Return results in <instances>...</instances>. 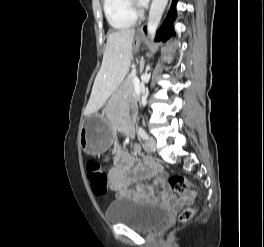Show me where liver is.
I'll list each match as a JSON object with an SVG mask.
<instances>
[{
  "label": "liver",
  "instance_id": "6515ba94",
  "mask_svg": "<svg viewBox=\"0 0 264 247\" xmlns=\"http://www.w3.org/2000/svg\"><path fill=\"white\" fill-rule=\"evenodd\" d=\"M134 29H123L107 36L101 68L95 78L85 114L98 111L127 74L132 59Z\"/></svg>",
  "mask_w": 264,
  "mask_h": 247
}]
</instances>
